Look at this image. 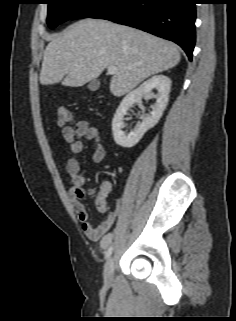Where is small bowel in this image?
Returning a JSON list of instances; mask_svg holds the SVG:
<instances>
[{
    "label": "small bowel",
    "mask_w": 236,
    "mask_h": 321,
    "mask_svg": "<svg viewBox=\"0 0 236 321\" xmlns=\"http://www.w3.org/2000/svg\"><path fill=\"white\" fill-rule=\"evenodd\" d=\"M62 136L68 145L63 167L70 186L69 196L72 208L82 223L85 235L91 240H99L101 247L106 248L110 242V237L107 233L118 215V210L111 208L107 202V197L112 191V184L108 180H103L98 190L91 192L94 196L96 209L106 215L104 221L96 224L89 219L88 211L82 201L86 177L81 172L78 161L73 157V155L82 151L85 140L95 141L96 148L93 154V161L95 163L102 162L106 155V148L102 141L100 130L88 120H80L74 126H64L62 128Z\"/></svg>",
    "instance_id": "1"
}]
</instances>
